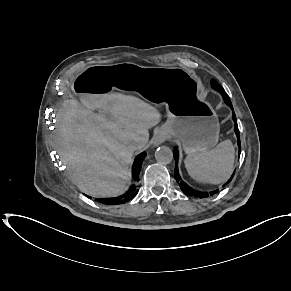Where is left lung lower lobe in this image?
Returning <instances> with one entry per match:
<instances>
[{
  "label": "left lung lower lobe",
  "mask_w": 291,
  "mask_h": 291,
  "mask_svg": "<svg viewBox=\"0 0 291 291\" xmlns=\"http://www.w3.org/2000/svg\"><path fill=\"white\" fill-rule=\"evenodd\" d=\"M220 93H221L225 103L228 106H230V108L233 110L232 103H231L230 98L227 95V93L225 91L224 92H220ZM232 118H233L234 123H235L234 130H235V133H236V136H237V139H238L239 154H240V151H241L240 135H239L238 125H237L236 116H235L234 112L232 114ZM173 154H174V158H175V161H176L175 171H174L175 179L178 182V184H179L181 190L183 191V193H185L188 196H195V197H199V198H207L209 196L214 195L215 193H217L219 191L217 189V190H214V191H211V192H200V191L194 190L193 188L188 186L183 180H181V177H180L179 172H178V165H177L178 164V151L174 150ZM233 176H234V173L232 174L231 178L223 186L228 184L232 180Z\"/></svg>",
  "instance_id": "1"
}]
</instances>
